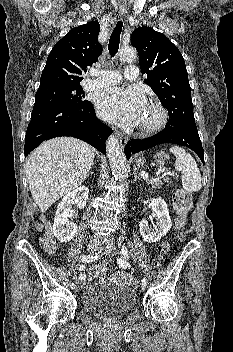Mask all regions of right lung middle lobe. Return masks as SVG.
<instances>
[{
    "mask_svg": "<svg viewBox=\"0 0 233 352\" xmlns=\"http://www.w3.org/2000/svg\"><path fill=\"white\" fill-rule=\"evenodd\" d=\"M82 87L80 85L51 84L41 86L36 92L34 108L44 106H64L82 104Z\"/></svg>",
    "mask_w": 233,
    "mask_h": 352,
    "instance_id": "right-lung-middle-lobe-1",
    "label": "right lung middle lobe"
}]
</instances>
